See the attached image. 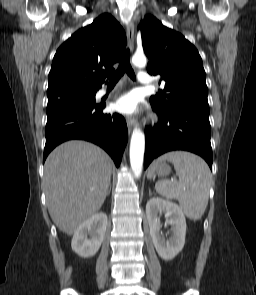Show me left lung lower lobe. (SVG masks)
Returning a JSON list of instances; mask_svg holds the SVG:
<instances>
[{
	"mask_svg": "<svg viewBox=\"0 0 256 295\" xmlns=\"http://www.w3.org/2000/svg\"><path fill=\"white\" fill-rule=\"evenodd\" d=\"M152 108L159 121L154 127L145 129L144 168L163 153L185 150L203 157L212 169L209 114L190 109L162 113Z\"/></svg>",
	"mask_w": 256,
	"mask_h": 295,
	"instance_id": "0a47b994",
	"label": "left lung lower lobe"
}]
</instances>
